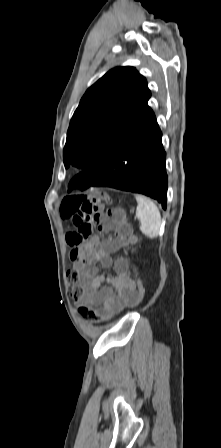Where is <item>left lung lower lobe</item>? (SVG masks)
<instances>
[{
    "label": "left lung lower lobe",
    "instance_id": "obj_1",
    "mask_svg": "<svg viewBox=\"0 0 221 448\" xmlns=\"http://www.w3.org/2000/svg\"><path fill=\"white\" fill-rule=\"evenodd\" d=\"M161 137L152 111L146 121L122 141L102 165L75 176L69 184V191L73 188L112 187L152 197L166 209V153Z\"/></svg>",
    "mask_w": 221,
    "mask_h": 448
}]
</instances>
